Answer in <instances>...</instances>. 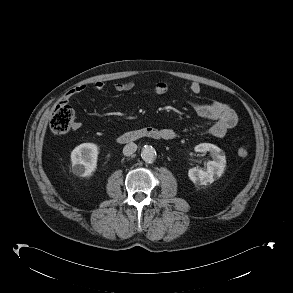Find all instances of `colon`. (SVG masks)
<instances>
[{"label":"colon","instance_id":"5ec220e1","mask_svg":"<svg viewBox=\"0 0 293 293\" xmlns=\"http://www.w3.org/2000/svg\"><path fill=\"white\" fill-rule=\"evenodd\" d=\"M74 122V111L66 102L58 103L52 113L50 119V129L55 134H65L71 128ZM249 149L247 146H242L238 149L240 157H247Z\"/></svg>","mask_w":293,"mask_h":293}]
</instances>
